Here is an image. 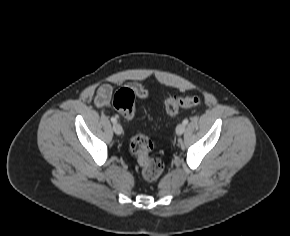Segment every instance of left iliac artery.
I'll return each instance as SVG.
<instances>
[{"instance_id": "44dca946", "label": "left iliac artery", "mask_w": 290, "mask_h": 236, "mask_svg": "<svg viewBox=\"0 0 290 236\" xmlns=\"http://www.w3.org/2000/svg\"><path fill=\"white\" fill-rule=\"evenodd\" d=\"M188 122H189L188 119H184V120H183V124H185V125L188 124Z\"/></svg>"}]
</instances>
